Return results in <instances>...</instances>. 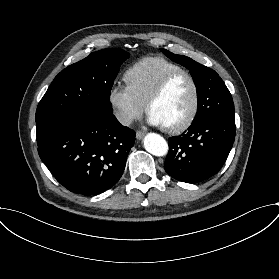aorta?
I'll use <instances>...</instances> for the list:
<instances>
[{"label": "aorta", "mask_w": 279, "mask_h": 279, "mask_svg": "<svg viewBox=\"0 0 279 279\" xmlns=\"http://www.w3.org/2000/svg\"><path fill=\"white\" fill-rule=\"evenodd\" d=\"M144 148L155 156H164L168 152V143L156 133H149L144 138Z\"/></svg>", "instance_id": "aorta-1"}]
</instances>
